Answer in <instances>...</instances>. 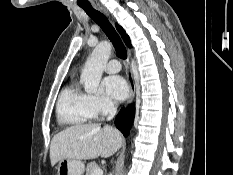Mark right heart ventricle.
Masks as SVG:
<instances>
[{"label":"right heart ventricle","instance_id":"1","mask_svg":"<svg viewBox=\"0 0 233 175\" xmlns=\"http://www.w3.org/2000/svg\"><path fill=\"white\" fill-rule=\"evenodd\" d=\"M56 115L60 124L78 127L95 117L91 95L72 83L64 87L58 97Z\"/></svg>","mask_w":233,"mask_h":175}]
</instances>
